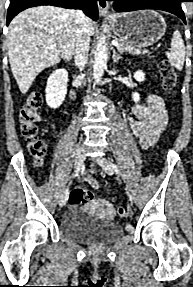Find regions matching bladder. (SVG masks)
<instances>
[{"instance_id":"1","label":"bladder","mask_w":193,"mask_h":287,"mask_svg":"<svg viewBox=\"0 0 193 287\" xmlns=\"http://www.w3.org/2000/svg\"><path fill=\"white\" fill-rule=\"evenodd\" d=\"M60 230L72 239L90 245L109 244L123 233V228L112 220L92 217L88 211L68 210L61 218Z\"/></svg>"}]
</instances>
